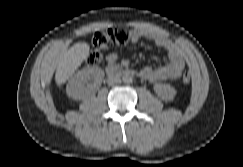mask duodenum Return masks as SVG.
Segmentation results:
<instances>
[{"mask_svg": "<svg viewBox=\"0 0 243 167\" xmlns=\"http://www.w3.org/2000/svg\"><path fill=\"white\" fill-rule=\"evenodd\" d=\"M106 73L110 76H119V75H139V72L132 68H124L121 66L109 64L106 67Z\"/></svg>", "mask_w": 243, "mask_h": 167, "instance_id": "410a0bca", "label": "duodenum"}]
</instances>
